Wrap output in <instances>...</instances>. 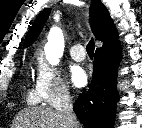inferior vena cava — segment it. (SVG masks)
I'll list each match as a JSON object with an SVG mask.
<instances>
[{
  "label": "inferior vena cava",
  "mask_w": 142,
  "mask_h": 128,
  "mask_svg": "<svg viewBox=\"0 0 142 128\" xmlns=\"http://www.w3.org/2000/svg\"><path fill=\"white\" fill-rule=\"evenodd\" d=\"M58 110L65 119L67 128H79V123L73 111L71 97L67 91H63L60 95Z\"/></svg>",
  "instance_id": "inferior-vena-cava-1"
}]
</instances>
